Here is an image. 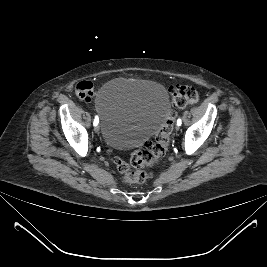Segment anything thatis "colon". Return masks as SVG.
Listing matches in <instances>:
<instances>
[{"instance_id": "obj_1", "label": "colon", "mask_w": 267, "mask_h": 267, "mask_svg": "<svg viewBox=\"0 0 267 267\" xmlns=\"http://www.w3.org/2000/svg\"><path fill=\"white\" fill-rule=\"evenodd\" d=\"M170 93L173 105L178 108L193 105L197 103L199 98L196 89L189 85L171 88ZM175 118L176 113L170 111L166 120L155 134L154 139L144 147L136 149L131 154L129 162H126L121 157L114 159V163L125 183L144 182L150 176L147 169L160 164L169 148L170 134Z\"/></svg>"}]
</instances>
